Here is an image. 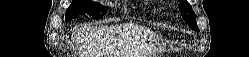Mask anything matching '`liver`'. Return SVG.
Segmentation results:
<instances>
[{"label": "liver", "mask_w": 249, "mask_h": 57, "mask_svg": "<svg viewBox=\"0 0 249 57\" xmlns=\"http://www.w3.org/2000/svg\"><path fill=\"white\" fill-rule=\"evenodd\" d=\"M150 31L132 25L84 26L80 28L75 41L81 43L82 57H128L138 35H148Z\"/></svg>", "instance_id": "liver-1"}]
</instances>
